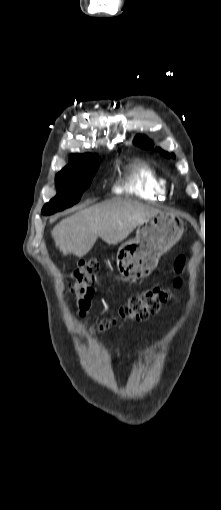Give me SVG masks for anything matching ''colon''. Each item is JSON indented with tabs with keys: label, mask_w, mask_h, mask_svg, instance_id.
Listing matches in <instances>:
<instances>
[{
	"label": "colon",
	"mask_w": 221,
	"mask_h": 510,
	"mask_svg": "<svg viewBox=\"0 0 221 510\" xmlns=\"http://www.w3.org/2000/svg\"><path fill=\"white\" fill-rule=\"evenodd\" d=\"M184 266V256H178L173 265V273L176 275L173 279L174 286L181 285V279L178 275L182 273ZM99 270L100 265L97 261L87 260L81 262L73 273L72 290L81 317H84L91 307L95 293L96 274ZM168 299L169 293L167 290L157 284L153 288L131 297L120 307L118 317L133 322L146 320L157 313ZM115 321L116 318H104L97 324L96 328L100 331L108 330Z\"/></svg>",
	"instance_id": "1"
}]
</instances>
